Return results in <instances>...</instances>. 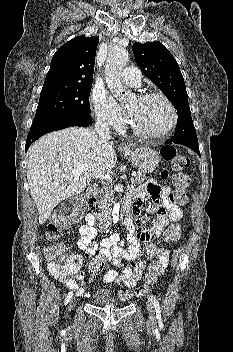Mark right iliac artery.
Here are the masks:
<instances>
[{"instance_id":"82829eb1","label":"right iliac artery","mask_w":233,"mask_h":352,"mask_svg":"<svg viewBox=\"0 0 233 352\" xmlns=\"http://www.w3.org/2000/svg\"><path fill=\"white\" fill-rule=\"evenodd\" d=\"M72 296H73V292H69L66 295L65 304H67L69 302V300L72 298Z\"/></svg>"}]
</instances>
